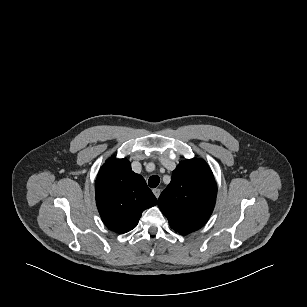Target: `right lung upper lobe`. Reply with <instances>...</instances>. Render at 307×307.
Returning <instances> with one entry per match:
<instances>
[{"label": "right lung upper lobe", "mask_w": 307, "mask_h": 307, "mask_svg": "<svg viewBox=\"0 0 307 307\" xmlns=\"http://www.w3.org/2000/svg\"><path fill=\"white\" fill-rule=\"evenodd\" d=\"M97 208L104 224L112 231L134 229L142 212L157 204L144 178L131 169L127 159L110 157L95 182Z\"/></svg>", "instance_id": "cb5924a9"}]
</instances>
